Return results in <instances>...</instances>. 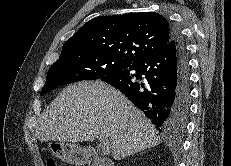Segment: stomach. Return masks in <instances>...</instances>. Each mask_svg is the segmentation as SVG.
I'll list each match as a JSON object with an SVG mask.
<instances>
[{
    "label": "stomach",
    "instance_id": "stomach-1",
    "mask_svg": "<svg viewBox=\"0 0 231 166\" xmlns=\"http://www.w3.org/2000/svg\"><path fill=\"white\" fill-rule=\"evenodd\" d=\"M49 149L55 157L70 164H83L87 158L85 149L71 142H51Z\"/></svg>",
    "mask_w": 231,
    "mask_h": 166
}]
</instances>
